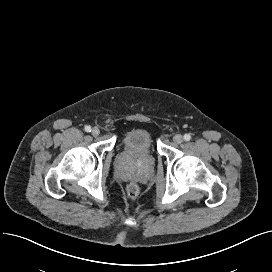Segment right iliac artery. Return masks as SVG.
<instances>
[{
    "mask_svg": "<svg viewBox=\"0 0 272 272\" xmlns=\"http://www.w3.org/2000/svg\"><path fill=\"white\" fill-rule=\"evenodd\" d=\"M85 131L86 132H91V127L90 126H85Z\"/></svg>",
    "mask_w": 272,
    "mask_h": 272,
    "instance_id": "right-iliac-artery-1",
    "label": "right iliac artery"
}]
</instances>
